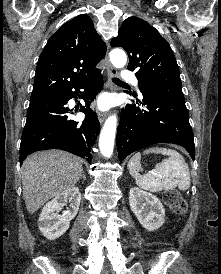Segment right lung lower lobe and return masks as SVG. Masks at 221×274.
I'll return each instance as SVG.
<instances>
[{
    "mask_svg": "<svg viewBox=\"0 0 221 274\" xmlns=\"http://www.w3.org/2000/svg\"><path fill=\"white\" fill-rule=\"evenodd\" d=\"M102 84L103 77L98 73L59 95L30 101L20 144V165L29 154L53 148L86 158L90 163L91 146L100 131V123L96 113L90 108V100L94 99ZM80 89L85 90L82 98L86 105L80 106V111L85 113V119L74 121L69 116L73 112L66 104L71 98L77 99Z\"/></svg>",
    "mask_w": 221,
    "mask_h": 274,
    "instance_id": "1",
    "label": "right lung lower lobe"
}]
</instances>
